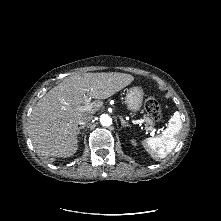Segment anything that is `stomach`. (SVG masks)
I'll return each mask as SVG.
<instances>
[{"label":"stomach","mask_w":221,"mask_h":221,"mask_svg":"<svg viewBox=\"0 0 221 221\" xmlns=\"http://www.w3.org/2000/svg\"><path fill=\"white\" fill-rule=\"evenodd\" d=\"M144 92L140 87H132L127 90L125 102L127 108L132 112L140 110L143 103Z\"/></svg>","instance_id":"0dacf381"}]
</instances>
